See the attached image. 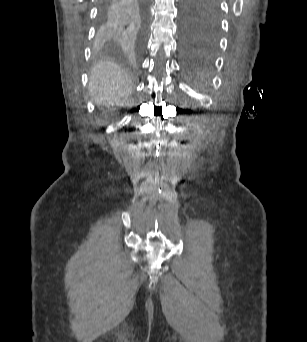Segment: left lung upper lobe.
Here are the masks:
<instances>
[{
  "mask_svg": "<svg viewBox=\"0 0 307 342\" xmlns=\"http://www.w3.org/2000/svg\"><path fill=\"white\" fill-rule=\"evenodd\" d=\"M217 1L182 0L181 36L186 54H210L217 48L220 31Z\"/></svg>",
  "mask_w": 307,
  "mask_h": 342,
  "instance_id": "1",
  "label": "left lung upper lobe"
}]
</instances>
